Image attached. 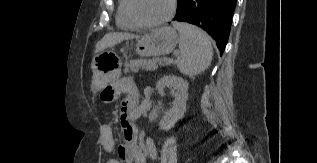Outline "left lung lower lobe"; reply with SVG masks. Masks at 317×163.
Returning <instances> with one entry per match:
<instances>
[{
    "instance_id": "0a47b994",
    "label": "left lung lower lobe",
    "mask_w": 317,
    "mask_h": 163,
    "mask_svg": "<svg viewBox=\"0 0 317 163\" xmlns=\"http://www.w3.org/2000/svg\"><path fill=\"white\" fill-rule=\"evenodd\" d=\"M236 0H178L173 21L197 25L210 34L223 53L230 33Z\"/></svg>"
}]
</instances>
